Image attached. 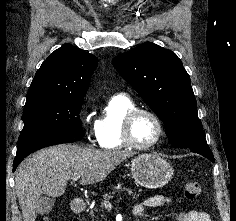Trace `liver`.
Listing matches in <instances>:
<instances>
[{
  "instance_id": "obj_1",
  "label": "liver",
  "mask_w": 236,
  "mask_h": 221,
  "mask_svg": "<svg viewBox=\"0 0 236 221\" xmlns=\"http://www.w3.org/2000/svg\"><path fill=\"white\" fill-rule=\"evenodd\" d=\"M132 155L126 150H96L65 144L32 154L15 172L23 221H35L42 194L63 195L67 182L75 177L81 179V185L98 183Z\"/></svg>"
}]
</instances>
